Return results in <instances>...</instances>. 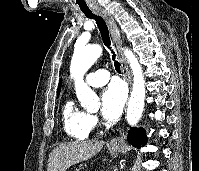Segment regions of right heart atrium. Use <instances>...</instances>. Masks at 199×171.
<instances>
[{
    "label": "right heart atrium",
    "instance_id": "right-heart-atrium-1",
    "mask_svg": "<svg viewBox=\"0 0 199 171\" xmlns=\"http://www.w3.org/2000/svg\"><path fill=\"white\" fill-rule=\"evenodd\" d=\"M97 124H98L97 116L93 114H89V125L91 126V128L96 127Z\"/></svg>",
    "mask_w": 199,
    "mask_h": 171
}]
</instances>
